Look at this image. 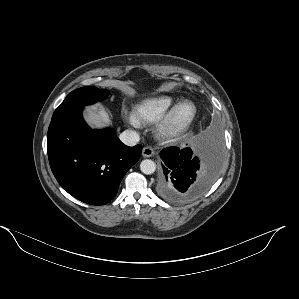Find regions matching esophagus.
<instances>
[{
  "instance_id": "obj_1",
  "label": "esophagus",
  "mask_w": 299,
  "mask_h": 299,
  "mask_svg": "<svg viewBox=\"0 0 299 299\" xmlns=\"http://www.w3.org/2000/svg\"><path fill=\"white\" fill-rule=\"evenodd\" d=\"M154 154H155V151L152 147L147 146V147H144L142 150L143 157H146V158L152 157V156H154Z\"/></svg>"
}]
</instances>
